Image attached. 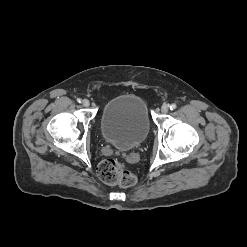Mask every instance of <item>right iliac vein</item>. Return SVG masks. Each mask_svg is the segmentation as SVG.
I'll list each match as a JSON object with an SVG mask.
<instances>
[{"label": "right iliac vein", "instance_id": "63e3f726", "mask_svg": "<svg viewBox=\"0 0 247 247\" xmlns=\"http://www.w3.org/2000/svg\"><path fill=\"white\" fill-rule=\"evenodd\" d=\"M82 105H83L84 107H89L90 101H89L88 99H84V100L82 101Z\"/></svg>", "mask_w": 247, "mask_h": 247}]
</instances>
